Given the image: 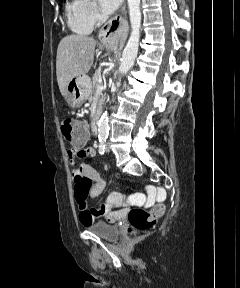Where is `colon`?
Segmentation results:
<instances>
[{"label": "colon", "instance_id": "1", "mask_svg": "<svg viewBox=\"0 0 240 288\" xmlns=\"http://www.w3.org/2000/svg\"><path fill=\"white\" fill-rule=\"evenodd\" d=\"M61 132L67 141L76 143L86 138L87 129L82 122L66 118L61 122ZM163 212L162 204H157L151 209H132L128 214L129 232L137 233L151 229Z\"/></svg>", "mask_w": 240, "mask_h": 288}]
</instances>
